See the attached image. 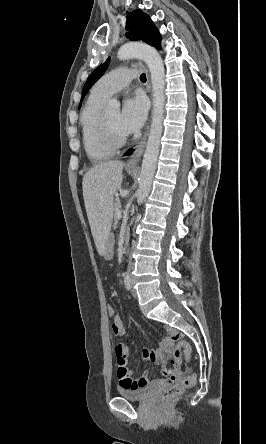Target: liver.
I'll return each instance as SVG.
<instances>
[{
	"label": "liver",
	"instance_id": "1",
	"mask_svg": "<svg viewBox=\"0 0 266 444\" xmlns=\"http://www.w3.org/2000/svg\"><path fill=\"white\" fill-rule=\"evenodd\" d=\"M124 163L108 161L92 167L83 177V197L92 236L100 255L110 236L114 193L123 181Z\"/></svg>",
	"mask_w": 266,
	"mask_h": 444
}]
</instances>
